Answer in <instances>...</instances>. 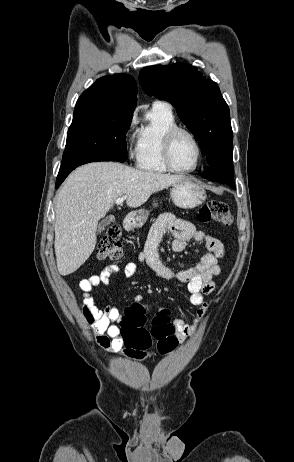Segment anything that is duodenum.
Returning <instances> with one entry per match:
<instances>
[{
    "mask_svg": "<svg viewBox=\"0 0 294 462\" xmlns=\"http://www.w3.org/2000/svg\"><path fill=\"white\" fill-rule=\"evenodd\" d=\"M123 224H124L125 230H127V231L132 230L133 227H134V218H133V216L127 215L124 218Z\"/></svg>",
    "mask_w": 294,
    "mask_h": 462,
    "instance_id": "410a0bca",
    "label": "duodenum"
}]
</instances>
